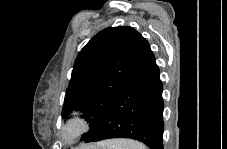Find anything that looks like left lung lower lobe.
Returning a JSON list of instances; mask_svg holds the SVG:
<instances>
[{
	"instance_id": "0a47b994",
	"label": "left lung lower lobe",
	"mask_w": 227,
	"mask_h": 149,
	"mask_svg": "<svg viewBox=\"0 0 227 149\" xmlns=\"http://www.w3.org/2000/svg\"><path fill=\"white\" fill-rule=\"evenodd\" d=\"M162 89L159 67L145 40L124 87L84 142L130 138L163 149Z\"/></svg>"
}]
</instances>
